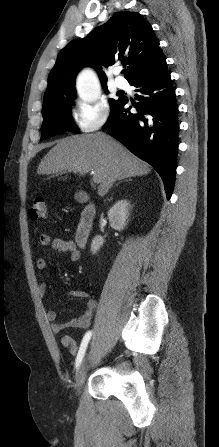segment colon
Segmentation results:
<instances>
[{
	"instance_id": "colon-1",
	"label": "colon",
	"mask_w": 219,
	"mask_h": 447,
	"mask_svg": "<svg viewBox=\"0 0 219 447\" xmlns=\"http://www.w3.org/2000/svg\"><path fill=\"white\" fill-rule=\"evenodd\" d=\"M30 216L33 220H45L48 216L46 200L44 197H36L32 202Z\"/></svg>"
}]
</instances>
